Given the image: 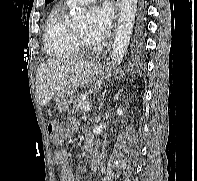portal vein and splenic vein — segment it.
I'll return each mask as SVG.
<instances>
[{
  "label": "portal vein and splenic vein",
  "instance_id": "portal-vein-and-splenic-vein-1",
  "mask_svg": "<svg viewBox=\"0 0 197 181\" xmlns=\"http://www.w3.org/2000/svg\"><path fill=\"white\" fill-rule=\"evenodd\" d=\"M91 108H92V105H85V106L83 107V111H84V112H89V111L91 110Z\"/></svg>",
  "mask_w": 197,
  "mask_h": 181
}]
</instances>
